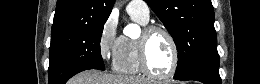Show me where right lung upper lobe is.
<instances>
[{
  "mask_svg": "<svg viewBox=\"0 0 260 84\" xmlns=\"http://www.w3.org/2000/svg\"><path fill=\"white\" fill-rule=\"evenodd\" d=\"M115 0H58L52 34L81 24L107 20Z\"/></svg>",
  "mask_w": 260,
  "mask_h": 84,
  "instance_id": "right-lung-upper-lobe-1",
  "label": "right lung upper lobe"
}]
</instances>
